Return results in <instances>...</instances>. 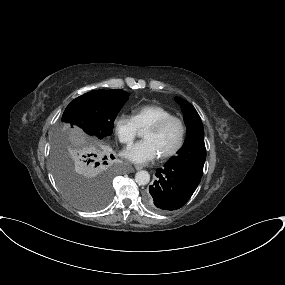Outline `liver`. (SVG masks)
<instances>
[{"label": "liver", "instance_id": "obj_1", "mask_svg": "<svg viewBox=\"0 0 285 285\" xmlns=\"http://www.w3.org/2000/svg\"><path fill=\"white\" fill-rule=\"evenodd\" d=\"M86 143V139L84 136H75L73 138V146L75 148L81 147L82 145H84ZM76 149L73 150L74 154H75Z\"/></svg>", "mask_w": 285, "mask_h": 285}]
</instances>
